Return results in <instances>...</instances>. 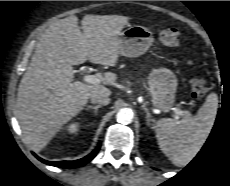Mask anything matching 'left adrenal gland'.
I'll return each instance as SVG.
<instances>
[{
	"label": "left adrenal gland",
	"instance_id": "a2214340",
	"mask_svg": "<svg viewBox=\"0 0 230 186\" xmlns=\"http://www.w3.org/2000/svg\"><path fill=\"white\" fill-rule=\"evenodd\" d=\"M142 109L145 111L146 113V121L148 126H151V122H154V120L152 119L151 114L149 113L148 108L145 105H142Z\"/></svg>",
	"mask_w": 230,
	"mask_h": 186
}]
</instances>
